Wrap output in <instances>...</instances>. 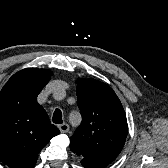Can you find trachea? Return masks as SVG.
<instances>
[{
	"label": "trachea",
	"instance_id": "trachea-1",
	"mask_svg": "<svg viewBox=\"0 0 168 168\" xmlns=\"http://www.w3.org/2000/svg\"><path fill=\"white\" fill-rule=\"evenodd\" d=\"M52 120H53V123H55V124L63 123L61 110H59V109L55 110Z\"/></svg>",
	"mask_w": 168,
	"mask_h": 168
}]
</instances>
